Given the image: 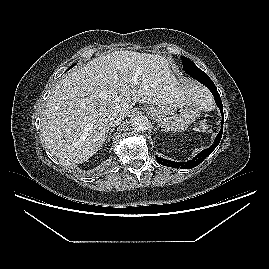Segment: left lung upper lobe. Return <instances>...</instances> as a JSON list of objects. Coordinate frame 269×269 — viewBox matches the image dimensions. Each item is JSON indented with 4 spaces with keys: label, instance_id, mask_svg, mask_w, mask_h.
Here are the masks:
<instances>
[{
    "label": "left lung upper lobe",
    "instance_id": "obj_1",
    "mask_svg": "<svg viewBox=\"0 0 269 269\" xmlns=\"http://www.w3.org/2000/svg\"><path fill=\"white\" fill-rule=\"evenodd\" d=\"M181 60L183 63V69L187 74L191 75L193 73L202 71L190 59H188L184 56H181Z\"/></svg>",
    "mask_w": 269,
    "mask_h": 269
}]
</instances>
